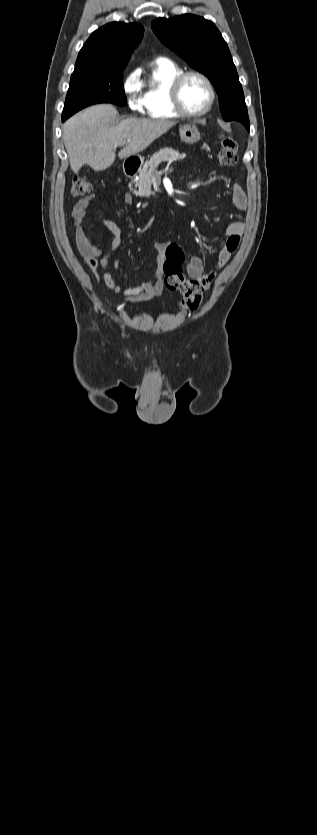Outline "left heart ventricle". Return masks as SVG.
I'll use <instances>...</instances> for the list:
<instances>
[{"mask_svg":"<svg viewBox=\"0 0 317 835\" xmlns=\"http://www.w3.org/2000/svg\"><path fill=\"white\" fill-rule=\"evenodd\" d=\"M181 99L188 111L199 112L208 104L210 92L202 79L191 76L186 79L182 87Z\"/></svg>","mask_w":317,"mask_h":835,"instance_id":"obj_1","label":"left heart ventricle"}]
</instances>
